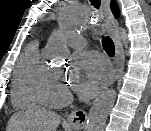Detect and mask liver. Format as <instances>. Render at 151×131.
Wrapping results in <instances>:
<instances>
[{"instance_id":"1","label":"liver","mask_w":151,"mask_h":131,"mask_svg":"<svg viewBox=\"0 0 151 131\" xmlns=\"http://www.w3.org/2000/svg\"><path fill=\"white\" fill-rule=\"evenodd\" d=\"M61 118L55 112L44 108H30L13 114L7 131H56Z\"/></svg>"}]
</instances>
